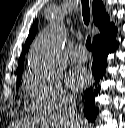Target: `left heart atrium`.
<instances>
[{
  "label": "left heart atrium",
  "mask_w": 125,
  "mask_h": 128,
  "mask_svg": "<svg viewBox=\"0 0 125 128\" xmlns=\"http://www.w3.org/2000/svg\"><path fill=\"white\" fill-rule=\"evenodd\" d=\"M66 82L71 89L78 90L85 85L86 77L80 70H73L68 74Z\"/></svg>",
  "instance_id": "39dd6f15"
}]
</instances>
